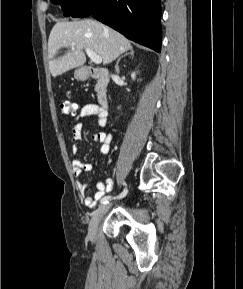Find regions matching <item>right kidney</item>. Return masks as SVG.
<instances>
[{
    "mask_svg": "<svg viewBox=\"0 0 243 289\" xmlns=\"http://www.w3.org/2000/svg\"><path fill=\"white\" fill-rule=\"evenodd\" d=\"M131 77H132V79L134 80L135 77H136V74H135V73H132Z\"/></svg>",
    "mask_w": 243,
    "mask_h": 289,
    "instance_id": "1",
    "label": "right kidney"
}]
</instances>
